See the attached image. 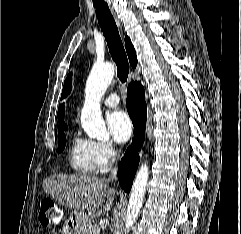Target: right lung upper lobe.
I'll use <instances>...</instances> for the list:
<instances>
[{"label":"right lung upper lobe","instance_id":"1","mask_svg":"<svg viewBox=\"0 0 241 234\" xmlns=\"http://www.w3.org/2000/svg\"><path fill=\"white\" fill-rule=\"evenodd\" d=\"M125 45H126V52L128 54L129 57V61L132 67H136L137 65V57H136V52L135 49L130 41V39L128 38V36L125 37ZM64 113H65V108L64 105H61L58 109V113H57V117H58V121L60 123V128H58V131L62 130V128H68V126L64 123Z\"/></svg>","mask_w":241,"mask_h":234}]
</instances>
